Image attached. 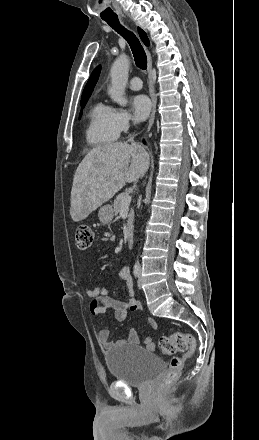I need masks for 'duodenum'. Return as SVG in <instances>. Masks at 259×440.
I'll return each instance as SVG.
<instances>
[{
    "label": "duodenum",
    "instance_id": "1",
    "mask_svg": "<svg viewBox=\"0 0 259 440\" xmlns=\"http://www.w3.org/2000/svg\"><path fill=\"white\" fill-rule=\"evenodd\" d=\"M126 242L128 246H132L133 244V230L129 229L126 235Z\"/></svg>",
    "mask_w": 259,
    "mask_h": 440
}]
</instances>
